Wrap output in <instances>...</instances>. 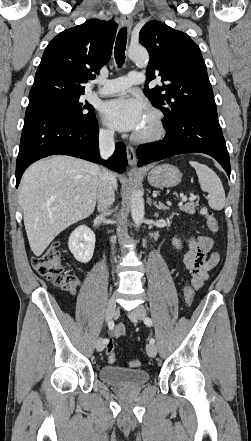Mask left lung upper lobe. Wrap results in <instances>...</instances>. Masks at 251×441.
Returning <instances> with one entry per match:
<instances>
[{
  "label": "left lung upper lobe",
  "mask_w": 251,
  "mask_h": 441,
  "mask_svg": "<svg viewBox=\"0 0 251 441\" xmlns=\"http://www.w3.org/2000/svg\"><path fill=\"white\" fill-rule=\"evenodd\" d=\"M139 42L150 54L144 93L163 112L165 126L183 114L217 112L200 48L187 34L150 21L142 27ZM158 76L164 84L149 89L148 83Z\"/></svg>",
  "instance_id": "left-lung-upper-lobe-1"
}]
</instances>
